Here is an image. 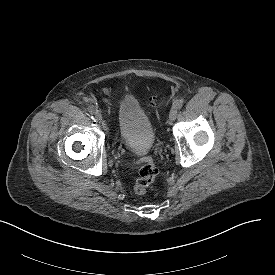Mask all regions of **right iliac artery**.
<instances>
[{
  "label": "right iliac artery",
  "mask_w": 275,
  "mask_h": 275,
  "mask_svg": "<svg viewBox=\"0 0 275 275\" xmlns=\"http://www.w3.org/2000/svg\"><path fill=\"white\" fill-rule=\"evenodd\" d=\"M95 110H96V107H95L94 105H91V106L88 107V111H89L91 114H94Z\"/></svg>",
  "instance_id": "right-iliac-artery-1"
}]
</instances>
